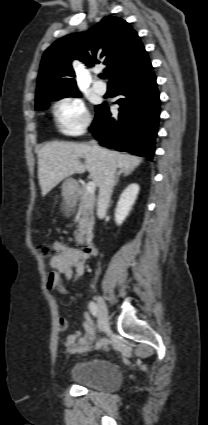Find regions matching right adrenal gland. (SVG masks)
<instances>
[{"label":"right adrenal gland","instance_id":"obj_1","mask_svg":"<svg viewBox=\"0 0 208 425\" xmlns=\"http://www.w3.org/2000/svg\"><path fill=\"white\" fill-rule=\"evenodd\" d=\"M131 173H132V171H131V170L121 168V169L118 171V173H117V176H116V179H115V186H117V185H118L119 178H120V175H121V174H123V176H124V177H127V176H129Z\"/></svg>","mask_w":208,"mask_h":425}]
</instances>
